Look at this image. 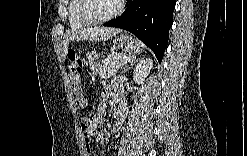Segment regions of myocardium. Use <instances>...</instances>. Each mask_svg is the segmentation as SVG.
I'll return each instance as SVG.
<instances>
[{"mask_svg":"<svg viewBox=\"0 0 247 156\" xmlns=\"http://www.w3.org/2000/svg\"><path fill=\"white\" fill-rule=\"evenodd\" d=\"M88 2V0H81L78 7V17L87 26H97L109 22L119 16L123 11V3L121 1H116V7L111 14L101 18H89L85 14Z\"/></svg>","mask_w":247,"mask_h":156,"instance_id":"obj_1","label":"myocardium"}]
</instances>
